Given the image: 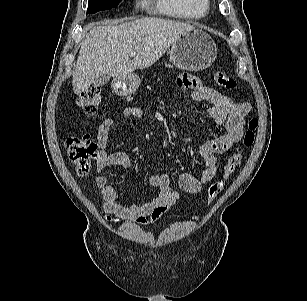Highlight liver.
Listing matches in <instances>:
<instances>
[{
	"mask_svg": "<svg viewBox=\"0 0 307 301\" xmlns=\"http://www.w3.org/2000/svg\"><path fill=\"white\" fill-rule=\"evenodd\" d=\"M191 29L189 24L157 17L93 27L81 43L72 78L74 92H85L99 74L123 77L151 66ZM132 51L136 55L130 60Z\"/></svg>",
	"mask_w": 307,
	"mask_h": 301,
	"instance_id": "6515ba94",
	"label": "liver"
}]
</instances>
